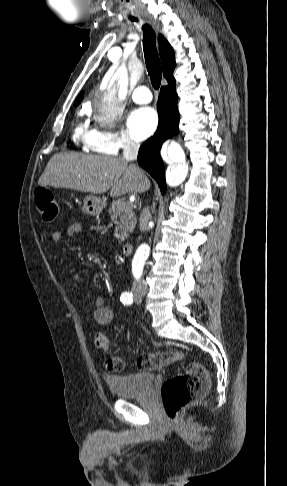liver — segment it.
<instances>
[{"mask_svg":"<svg viewBox=\"0 0 287 486\" xmlns=\"http://www.w3.org/2000/svg\"><path fill=\"white\" fill-rule=\"evenodd\" d=\"M38 184L94 194L111 189V196L142 193L150 188L145 173L124 158L77 153L52 156Z\"/></svg>","mask_w":287,"mask_h":486,"instance_id":"liver-1","label":"liver"}]
</instances>
